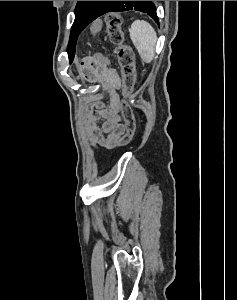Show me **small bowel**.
<instances>
[{
  "label": "small bowel",
  "mask_w": 237,
  "mask_h": 300,
  "mask_svg": "<svg viewBox=\"0 0 237 300\" xmlns=\"http://www.w3.org/2000/svg\"><path fill=\"white\" fill-rule=\"evenodd\" d=\"M79 74L81 79L98 84L107 92L106 103L96 102L86 109L84 129L93 146L112 149L124 132L119 116L120 102L117 95L120 77L115 68L108 65H91L87 58L80 63ZM99 120H102L101 126L97 124Z\"/></svg>",
  "instance_id": "1"
}]
</instances>
